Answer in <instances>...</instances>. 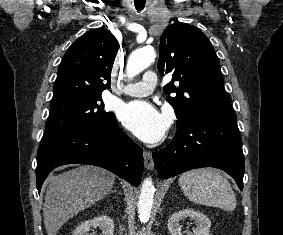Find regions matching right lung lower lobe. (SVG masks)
<instances>
[{
    "mask_svg": "<svg viewBox=\"0 0 283 235\" xmlns=\"http://www.w3.org/2000/svg\"><path fill=\"white\" fill-rule=\"evenodd\" d=\"M79 163L105 168L138 186L143 174V151L119 127L114 117L105 126L41 145L37 154V189L59 165Z\"/></svg>",
    "mask_w": 283,
    "mask_h": 235,
    "instance_id": "1",
    "label": "right lung lower lobe"
}]
</instances>
